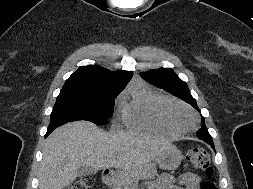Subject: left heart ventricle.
<instances>
[{
	"label": "left heart ventricle",
	"mask_w": 253,
	"mask_h": 189,
	"mask_svg": "<svg viewBox=\"0 0 253 189\" xmlns=\"http://www.w3.org/2000/svg\"><path fill=\"white\" fill-rule=\"evenodd\" d=\"M175 116L179 124L183 126H189L191 124L190 116L185 111L179 110Z\"/></svg>",
	"instance_id": "obj_1"
}]
</instances>
